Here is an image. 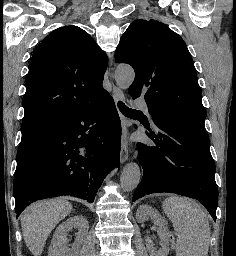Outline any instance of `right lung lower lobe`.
<instances>
[{
	"label": "right lung lower lobe",
	"instance_id": "1",
	"mask_svg": "<svg viewBox=\"0 0 236 256\" xmlns=\"http://www.w3.org/2000/svg\"><path fill=\"white\" fill-rule=\"evenodd\" d=\"M120 142V118L109 93L21 140L13 185L17 217L32 202L49 197L93 202L119 164Z\"/></svg>",
	"mask_w": 236,
	"mask_h": 256
}]
</instances>
